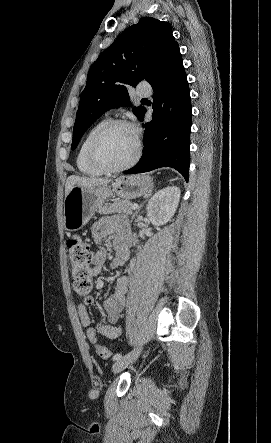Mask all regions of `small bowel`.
Segmentation results:
<instances>
[{"instance_id": "obj_1", "label": "small bowel", "mask_w": 271, "mask_h": 443, "mask_svg": "<svg viewBox=\"0 0 271 443\" xmlns=\"http://www.w3.org/2000/svg\"><path fill=\"white\" fill-rule=\"evenodd\" d=\"M92 236L99 247L94 257V273L98 274L105 263L107 252L102 246L106 239H112L115 246L114 266H121L129 259V234L127 229L115 222L109 217L99 219L92 226ZM128 290V279L125 276H119L113 292L106 297L103 303V309L107 317V322L94 329L89 312L85 305L78 306V315L82 326L86 330V336L91 342H95L98 334L108 338L116 339L121 335L122 328L119 318L125 304V297Z\"/></svg>"}]
</instances>
